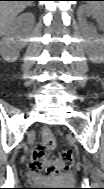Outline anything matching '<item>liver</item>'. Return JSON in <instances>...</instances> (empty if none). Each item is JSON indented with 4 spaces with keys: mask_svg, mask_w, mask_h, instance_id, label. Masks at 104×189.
<instances>
[{
    "mask_svg": "<svg viewBox=\"0 0 104 189\" xmlns=\"http://www.w3.org/2000/svg\"><path fill=\"white\" fill-rule=\"evenodd\" d=\"M30 4V1L0 2V32L2 35L9 30L13 19Z\"/></svg>",
    "mask_w": 104,
    "mask_h": 189,
    "instance_id": "6515ba94",
    "label": "liver"
}]
</instances>
